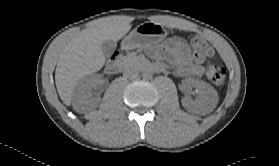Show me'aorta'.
Segmentation results:
<instances>
[{
	"mask_svg": "<svg viewBox=\"0 0 279 166\" xmlns=\"http://www.w3.org/2000/svg\"><path fill=\"white\" fill-rule=\"evenodd\" d=\"M142 77L144 78V79H152V77H153V72L150 70V69H144L143 71H142Z\"/></svg>",
	"mask_w": 279,
	"mask_h": 166,
	"instance_id": "obj_1",
	"label": "aorta"
}]
</instances>
